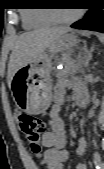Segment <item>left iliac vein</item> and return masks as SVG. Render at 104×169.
<instances>
[{
  "label": "left iliac vein",
  "instance_id": "left-iliac-vein-1",
  "mask_svg": "<svg viewBox=\"0 0 104 169\" xmlns=\"http://www.w3.org/2000/svg\"><path fill=\"white\" fill-rule=\"evenodd\" d=\"M101 168L100 169H103V164H101V166H100Z\"/></svg>",
  "mask_w": 104,
  "mask_h": 169
}]
</instances>
